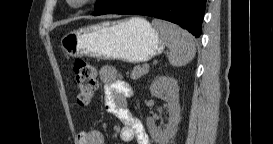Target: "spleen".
I'll list each match as a JSON object with an SVG mask.
<instances>
[{
    "label": "spleen",
    "mask_w": 273,
    "mask_h": 144,
    "mask_svg": "<svg viewBox=\"0 0 273 144\" xmlns=\"http://www.w3.org/2000/svg\"><path fill=\"white\" fill-rule=\"evenodd\" d=\"M152 25L170 50L169 62L172 66L181 67L192 61L196 48L194 38L188 31L159 19H154Z\"/></svg>",
    "instance_id": "3e777b00"
}]
</instances>
